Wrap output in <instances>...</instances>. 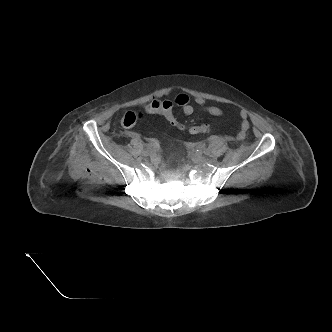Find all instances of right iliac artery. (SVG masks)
<instances>
[{
    "label": "right iliac artery",
    "instance_id": "82829eb1",
    "mask_svg": "<svg viewBox=\"0 0 332 332\" xmlns=\"http://www.w3.org/2000/svg\"><path fill=\"white\" fill-rule=\"evenodd\" d=\"M152 148H153L152 143H146V144L144 145V149H145V151L152 150Z\"/></svg>",
    "mask_w": 332,
    "mask_h": 332
}]
</instances>
